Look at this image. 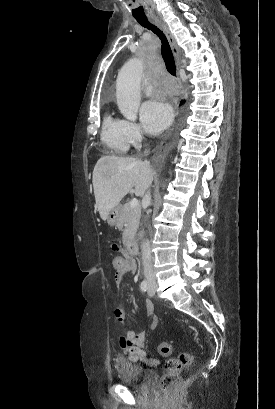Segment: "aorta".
<instances>
[{
    "mask_svg": "<svg viewBox=\"0 0 275 409\" xmlns=\"http://www.w3.org/2000/svg\"><path fill=\"white\" fill-rule=\"evenodd\" d=\"M142 64L139 58H129L118 72L116 80L117 106L128 120H136L140 102Z\"/></svg>",
    "mask_w": 275,
    "mask_h": 409,
    "instance_id": "1",
    "label": "aorta"
}]
</instances>
